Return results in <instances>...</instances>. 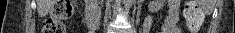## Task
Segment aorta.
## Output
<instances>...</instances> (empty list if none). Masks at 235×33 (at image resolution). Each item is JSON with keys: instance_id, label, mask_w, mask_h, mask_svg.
Here are the masks:
<instances>
[{"instance_id": "aorta-1", "label": "aorta", "mask_w": 235, "mask_h": 33, "mask_svg": "<svg viewBox=\"0 0 235 33\" xmlns=\"http://www.w3.org/2000/svg\"><path fill=\"white\" fill-rule=\"evenodd\" d=\"M133 0H124L125 7L128 9L131 7Z\"/></svg>"}]
</instances>
